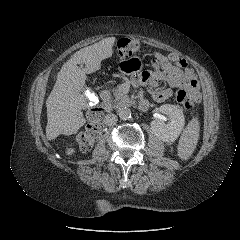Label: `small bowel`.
I'll list each match as a JSON object with an SVG mask.
<instances>
[{
  "label": "small bowel",
  "instance_id": "small-bowel-1",
  "mask_svg": "<svg viewBox=\"0 0 240 240\" xmlns=\"http://www.w3.org/2000/svg\"><path fill=\"white\" fill-rule=\"evenodd\" d=\"M154 57L155 62L161 69L142 73L141 78L134 80L135 86L140 84L147 85L152 98L156 102H163L173 95L171 89L159 87V84L162 82L168 83L171 88L184 89L194 96L195 101L200 100L197 77L185 60L173 53L164 56L155 52Z\"/></svg>",
  "mask_w": 240,
  "mask_h": 240
}]
</instances>
